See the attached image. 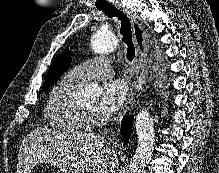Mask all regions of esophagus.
I'll list each match as a JSON object with an SVG mask.
<instances>
[{
  "label": "esophagus",
  "instance_id": "obj_1",
  "mask_svg": "<svg viewBox=\"0 0 219 173\" xmlns=\"http://www.w3.org/2000/svg\"><path fill=\"white\" fill-rule=\"evenodd\" d=\"M115 6L122 10L130 19L133 31V37L136 44L137 56H138V64L141 66L147 57L148 52V35L143 30L141 24L138 22L136 17L131 13V11L123 6L121 3H115ZM139 79L136 78L132 85L131 97L128 100V105L133 106L136 101V92L138 90Z\"/></svg>",
  "mask_w": 219,
  "mask_h": 173
}]
</instances>
